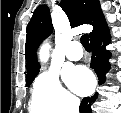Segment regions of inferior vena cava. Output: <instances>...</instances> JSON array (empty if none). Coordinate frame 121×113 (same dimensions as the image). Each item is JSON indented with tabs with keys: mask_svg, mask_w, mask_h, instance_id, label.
<instances>
[{
	"mask_svg": "<svg viewBox=\"0 0 121 113\" xmlns=\"http://www.w3.org/2000/svg\"><path fill=\"white\" fill-rule=\"evenodd\" d=\"M79 104H80L79 100L74 101L71 105L70 113H78L79 112Z\"/></svg>",
	"mask_w": 121,
	"mask_h": 113,
	"instance_id": "1",
	"label": "inferior vena cava"
}]
</instances>
